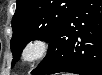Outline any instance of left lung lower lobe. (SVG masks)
Masks as SVG:
<instances>
[{
    "mask_svg": "<svg viewBox=\"0 0 102 75\" xmlns=\"http://www.w3.org/2000/svg\"><path fill=\"white\" fill-rule=\"evenodd\" d=\"M102 75V0H81L49 40L33 75Z\"/></svg>",
    "mask_w": 102,
    "mask_h": 75,
    "instance_id": "obj_1",
    "label": "left lung lower lobe"
}]
</instances>
